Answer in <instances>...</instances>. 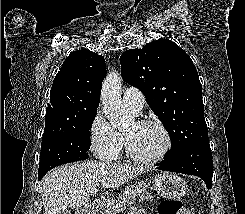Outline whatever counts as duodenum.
Masks as SVG:
<instances>
[{
  "label": "duodenum",
  "instance_id": "duodenum-1",
  "mask_svg": "<svg viewBox=\"0 0 245 214\" xmlns=\"http://www.w3.org/2000/svg\"><path fill=\"white\" fill-rule=\"evenodd\" d=\"M104 211V202L102 200H94L90 206L80 209L77 214H102Z\"/></svg>",
  "mask_w": 245,
  "mask_h": 214
}]
</instances>
